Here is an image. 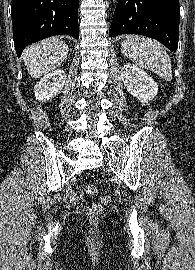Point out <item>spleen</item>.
<instances>
[{
  "mask_svg": "<svg viewBox=\"0 0 195 270\" xmlns=\"http://www.w3.org/2000/svg\"><path fill=\"white\" fill-rule=\"evenodd\" d=\"M121 50L136 65L149 69L166 81L172 80L171 60L158 42L145 37L128 36L121 43Z\"/></svg>",
  "mask_w": 195,
  "mask_h": 270,
  "instance_id": "1",
  "label": "spleen"
}]
</instances>
